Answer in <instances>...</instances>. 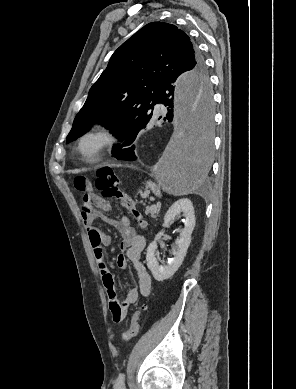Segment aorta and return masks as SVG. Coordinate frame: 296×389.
Here are the masks:
<instances>
[{
  "label": "aorta",
  "mask_w": 296,
  "mask_h": 389,
  "mask_svg": "<svg viewBox=\"0 0 296 389\" xmlns=\"http://www.w3.org/2000/svg\"><path fill=\"white\" fill-rule=\"evenodd\" d=\"M175 130L156 172L174 193L200 189L213 161L214 104L206 72H183L174 81Z\"/></svg>",
  "instance_id": "762f6f07"
}]
</instances>
